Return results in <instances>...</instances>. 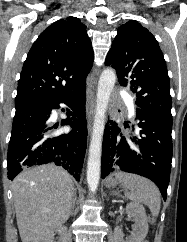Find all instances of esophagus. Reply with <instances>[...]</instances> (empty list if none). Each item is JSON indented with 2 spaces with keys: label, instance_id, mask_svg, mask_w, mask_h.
Returning <instances> with one entry per match:
<instances>
[{
  "label": "esophagus",
  "instance_id": "1",
  "mask_svg": "<svg viewBox=\"0 0 187 242\" xmlns=\"http://www.w3.org/2000/svg\"><path fill=\"white\" fill-rule=\"evenodd\" d=\"M95 109V96L92 85L87 88V101H86V117L88 122V131L91 132L92 119Z\"/></svg>",
  "mask_w": 187,
  "mask_h": 242
}]
</instances>
